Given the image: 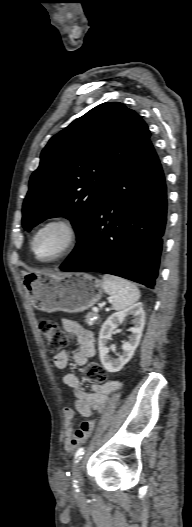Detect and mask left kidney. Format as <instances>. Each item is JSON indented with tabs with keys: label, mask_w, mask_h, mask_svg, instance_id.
Instances as JSON below:
<instances>
[{
	"label": "left kidney",
	"mask_w": 192,
	"mask_h": 527,
	"mask_svg": "<svg viewBox=\"0 0 192 527\" xmlns=\"http://www.w3.org/2000/svg\"><path fill=\"white\" fill-rule=\"evenodd\" d=\"M128 316H133L134 326L129 328L131 335L127 342L122 345L123 353L117 359L111 358L107 343L111 340V334L116 329L119 322ZM145 325V312L142 303H136L123 311L116 312L108 317L103 323L99 332L98 346L99 357L103 367L111 373L120 371L133 357L136 348L140 343L142 331Z\"/></svg>",
	"instance_id": "5707ae66"
}]
</instances>
